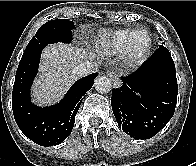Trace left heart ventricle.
<instances>
[{
	"label": "left heart ventricle",
	"instance_id": "1",
	"mask_svg": "<svg viewBox=\"0 0 196 166\" xmlns=\"http://www.w3.org/2000/svg\"><path fill=\"white\" fill-rule=\"evenodd\" d=\"M147 45V36L145 33H137L132 41L131 46L136 52L142 51Z\"/></svg>",
	"mask_w": 196,
	"mask_h": 166
}]
</instances>
